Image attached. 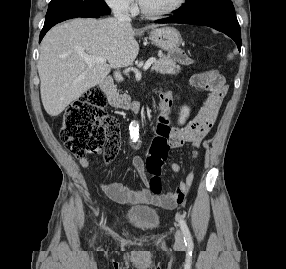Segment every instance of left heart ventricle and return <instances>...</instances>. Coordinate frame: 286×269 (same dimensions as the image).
<instances>
[{"label":"left heart ventricle","mask_w":286,"mask_h":269,"mask_svg":"<svg viewBox=\"0 0 286 269\" xmlns=\"http://www.w3.org/2000/svg\"><path fill=\"white\" fill-rule=\"evenodd\" d=\"M149 11H162L171 7L177 0H141Z\"/></svg>","instance_id":"b2bd125f"}]
</instances>
